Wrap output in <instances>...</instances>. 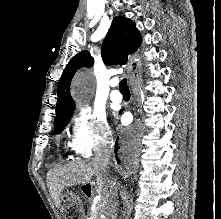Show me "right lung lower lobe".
Returning <instances> with one entry per match:
<instances>
[{"mask_svg": "<svg viewBox=\"0 0 221 219\" xmlns=\"http://www.w3.org/2000/svg\"><path fill=\"white\" fill-rule=\"evenodd\" d=\"M123 150H124V147L121 144H118V139H117L115 143V150H114L115 156H117V152L122 153ZM116 160L119 163V159L116 158Z\"/></svg>", "mask_w": 221, "mask_h": 219, "instance_id": "98d812e1", "label": "right lung lower lobe"}]
</instances>
